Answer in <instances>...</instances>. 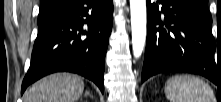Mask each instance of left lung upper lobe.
<instances>
[{"label": "left lung upper lobe", "instance_id": "5c2ea615", "mask_svg": "<svg viewBox=\"0 0 221 102\" xmlns=\"http://www.w3.org/2000/svg\"><path fill=\"white\" fill-rule=\"evenodd\" d=\"M199 1L205 3L206 5H207V3H208V0H199Z\"/></svg>", "mask_w": 221, "mask_h": 102}]
</instances>
